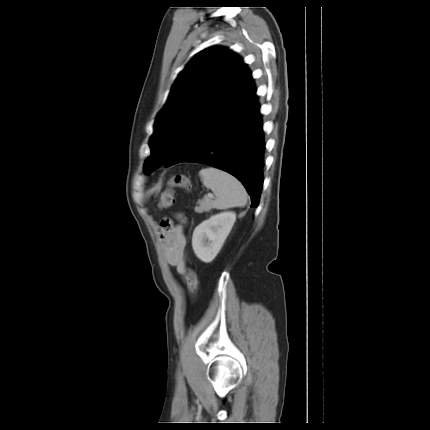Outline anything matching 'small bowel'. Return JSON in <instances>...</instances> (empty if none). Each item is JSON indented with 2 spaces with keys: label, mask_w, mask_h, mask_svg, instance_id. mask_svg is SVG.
<instances>
[{
  "label": "small bowel",
  "mask_w": 430,
  "mask_h": 430,
  "mask_svg": "<svg viewBox=\"0 0 430 430\" xmlns=\"http://www.w3.org/2000/svg\"><path fill=\"white\" fill-rule=\"evenodd\" d=\"M177 217L184 221L182 215ZM159 237L162 244L163 254L169 266L174 267L177 272L186 278V245L187 239L181 224H174L170 219H164L159 227Z\"/></svg>",
  "instance_id": "obj_1"
}]
</instances>
